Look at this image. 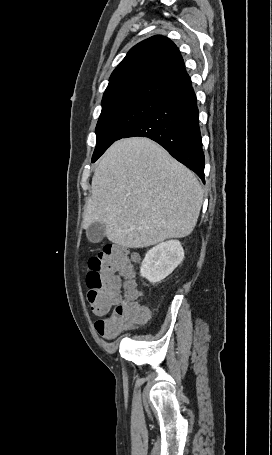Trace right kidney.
Listing matches in <instances>:
<instances>
[{"label":"right kidney","instance_id":"ca27d5eb","mask_svg":"<svg viewBox=\"0 0 272 455\" xmlns=\"http://www.w3.org/2000/svg\"><path fill=\"white\" fill-rule=\"evenodd\" d=\"M184 250L177 240L162 242L151 248L142 261L140 273L151 283L161 282L182 262Z\"/></svg>","mask_w":272,"mask_h":455}]
</instances>
